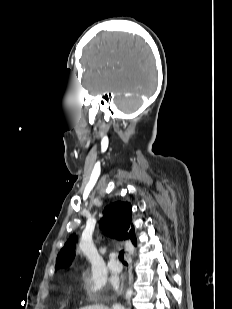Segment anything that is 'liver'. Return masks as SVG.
<instances>
[{
    "label": "liver",
    "mask_w": 232,
    "mask_h": 309,
    "mask_svg": "<svg viewBox=\"0 0 232 309\" xmlns=\"http://www.w3.org/2000/svg\"><path fill=\"white\" fill-rule=\"evenodd\" d=\"M80 309H109V308L104 305H93V306L82 307Z\"/></svg>",
    "instance_id": "6515ba94"
}]
</instances>
